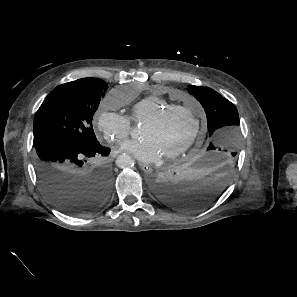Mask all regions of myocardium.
<instances>
[{
  "instance_id": "1",
  "label": "myocardium",
  "mask_w": 297,
  "mask_h": 297,
  "mask_svg": "<svg viewBox=\"0 0 297 297\" xmlns=\"http://www.w3.org/2000/svg\"><path fill=\"white\" fill-rule=\"evenodd\" d=\"M174 112H186V113L191 114L194 119L195 126H194L191 136L188 138V140L184 144H182L179 148L163 155L164 159H166V160L175 159V158L181 156L182 154H184L197 141L199 135L201 134L200 114L196 108H192L189 106L173 105V106L166 107V108L160 110L159 112H157L156 114H154L153 116L146 119L144 124H155V123L161 121L167 115L172 114Z\"/></svg>"
}]
</instances>
